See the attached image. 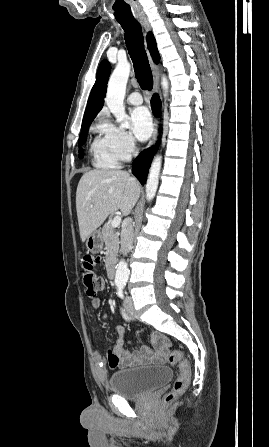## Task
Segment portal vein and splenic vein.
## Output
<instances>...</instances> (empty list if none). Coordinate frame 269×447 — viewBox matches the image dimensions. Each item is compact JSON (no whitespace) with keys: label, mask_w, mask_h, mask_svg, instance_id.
<instances>
[{"label":"portal vein and splenic vein","mask_w":269,"mask_h":447,"mask_svg":"<svg viewBox=\"0 0 269 447\" xmlns=\"http://www.w3.org/2000/svg\"><path fill=\"white\" fill-rule=\"evenodd\" d=\"M121 224V218L120 216H115V218H113L111 225L112 227H118V225Z\"/></svg>","instance_id":"1"}]
</instances>
